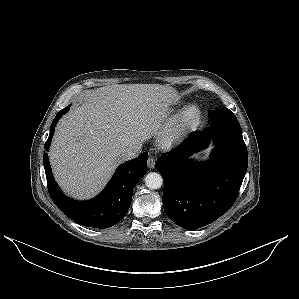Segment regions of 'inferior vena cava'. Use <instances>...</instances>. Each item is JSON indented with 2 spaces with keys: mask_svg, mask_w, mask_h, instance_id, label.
Here are the masks:
<instances>
[{
  "mask_svg": "<svg viewBox=\"0 0 299 299\" xmlns=\"http://www.w3.org/2000/svg\"><path fill=\"white\" fill-rule=\"evenodd\" d=\"M140 150H141V144L139 143L129 145L127 148L122 150V152L120 153V158L122 159V161L133 159L138 156Z\"/></svg>",
  "mask_w": 299,
  "mask_h": 299,
  "instance_id": "obj_1",
  "label": "inferior vena cava"
}]
</instances>
